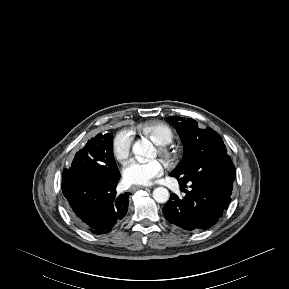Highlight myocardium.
I'll use <instances>...</instances> for the list:
<instances>
[{
	"instance_id": "myocardium-1",
	"label": "myocardium",
	"mask_w": 289,
	"mask_h": 289,
	"mask_svg": "<svg viewBox=\"0 0 289 289\" xmlns=\"http://www.w3.org/2000/svg\"><path fill=\"white\" fill-rule=\"evenodd\" d=\"M157 152L161 159L169 166L175 165L178 161L177 151L169 145H157Z\"/></svg>"
}]
</instances>
